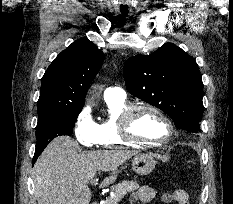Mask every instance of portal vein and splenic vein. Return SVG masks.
I'll use <instances>...</instances> for the list:
<instances>
[{"instance_id": "18ae733b", "label": "portal vein and splenic vein", "mask_w": 233, "mask_h": 204, "mask_svg": "<svg viewBox=\"0 0 233 204\" xmlns=\"http://www.w3.org/2000/svg\"><path fill=\"white\" fill-rule=\"evenodd\" d=\"M92 185H95L96 184V180H91L90 182Z\"/></svg>"}]
</instances>
